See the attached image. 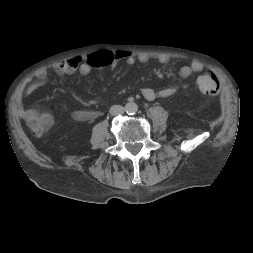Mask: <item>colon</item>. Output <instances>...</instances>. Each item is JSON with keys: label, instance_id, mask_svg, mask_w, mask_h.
<instances>
[{"label": "colon", "instance_id": "5ec220e1", "mask_svg": "<svg viewBox=\"0 0 253 253\" xmlns=\"http://www.w3.org/2000/svg\"><path fill=\"white\" fill-rule=\"evenodd\" d=\"M196 88L204 94L215 96L219 93V82L212 73L199 75L195 81ZM38 136L43 135V130H37Z\"/></svg>", "mask_w": 253, "mask_h": 253}]
</instances>
